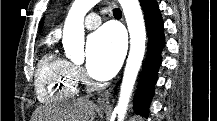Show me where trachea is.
<instances>
[{
	"label": "trachea",
	"instance_id": "3493384b",
	"mask_svg": "<svg viewBox=\"0 0 217 121\" xmlns=\"http://www.w3.org/2000/svg\"><path fill=\"white\" fill-rule=\"evenodd\" d=\"M113 15L115 17H119V16H122V12L119 8H115V9H113Z\"/></svg>",
	"mask_w": 217,
	"mask_h": 121
}]
</instances>
